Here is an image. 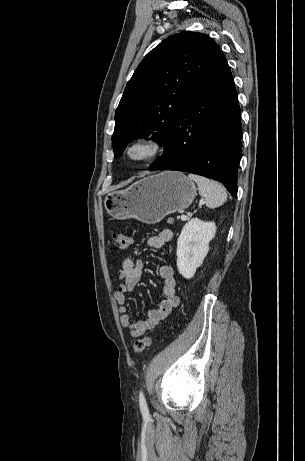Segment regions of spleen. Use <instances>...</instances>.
<instances>
[{
	"label": "spleen",
	"mask_w": 305,
	"mask_h": 461,
	"mask_svg": "<svg viewBox=\"0 0 305 461\" xmlns=\"http://www.w3.org/2000/svg\"><path fill=\"white\" fill-rule=\"evenodd\" d=\"M188 178L197 183L199 194L205 198L208 208H217L226 202L227 193L219 183L195 174H189Z\"/></svg>",
	"instance_id": "obj_1"
}]
</instances>
